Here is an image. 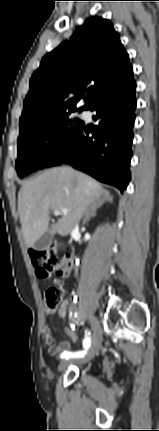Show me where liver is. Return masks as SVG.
I'll return each instance as SVG.
<instances>
[{
  "label": "liver",
  "mask_w": 159,
  "mask_h": 431,
  "mask_svg": "<svg viewBox=\"0 0 159 431\" xmlns=\"http://www.w3.org/2000/svg\"><path fill=\"white\" fill-rule=\"evenodd\" d=\"M105 194L109 193L96 180L70 167L52 168L28 180L18 194L27 246L31 247L49 229L51 210H68L50 229L52 234L67 236L88 208Z\"/></svg>",
  "instance_id": "liver-1"
}]
</instances>
